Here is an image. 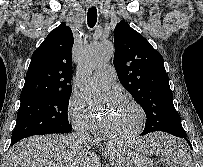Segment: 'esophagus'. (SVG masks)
<instances>
[{
	"instance_id": "1",
	"label": "esophagus",
	"mask_w": 203,
	"mask_h": 167,
	"mask_svg": "<svg viewBox=\"0 0 203 167\" xmlns=\"http://www.w3.org/2000/svg\"><path fill=\"white\" fill-rule=\"evenodd\" d=\"M89 5H90L91 7H94V6L96 5V3H95L93 0H90Z\"/></svg>"
}]
</instances>
